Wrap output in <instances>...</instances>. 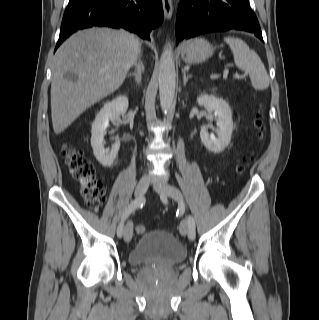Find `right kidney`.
Segmentation results:
<instances>
[{
	"label": "right kidney",
	"mask_w": 319,
	"mask_h": 320,
	"mask_svg": "<svg viewBox=\"0 0 319 320\" xmlns=\"http://www.w3.org/2000/svg\"><path fill=\"white\" fill-rule=\"evenodd\" d=\"M128 109V98L121 95L106 102L96 115L91 129V146L95 158L105 167L113 165L120 148V141H116L111 150L104 148V136L109 120H114L120 115H124Z\"/></svg>",
	"instance_id": "1"
}]
</instances>
